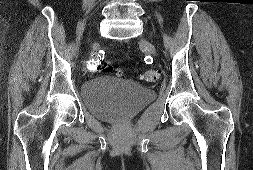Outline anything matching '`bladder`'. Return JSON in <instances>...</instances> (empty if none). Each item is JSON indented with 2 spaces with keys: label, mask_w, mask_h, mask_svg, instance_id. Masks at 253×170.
<instances>
[{
  "label": "bladder",
  "mask_w": 253,
  "mask_h": 170,
  "mask_svg": "<svg viewBox=\"0 0 253 170\" xmlns=\"http://www.w3.org/2000/svg\"><path fill=\"white\" fill-rule=\"evenodd\" d=\"M82 98L90 113L111 121L133 117L154 101L155 94L151 88L105 75L85 82Z\"/></svg>",
  "instance_id": "1"
}]
</instances>
